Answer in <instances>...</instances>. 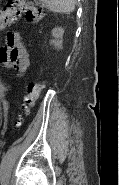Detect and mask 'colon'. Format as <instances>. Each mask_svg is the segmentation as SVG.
I'll list each match as a JSON object with an SVG mask.
<instances>
[{
    "label": "colon",
    "mask_w": 119,
    "mask_h": 185,
    "mask_svg": "<svg viewBox=\"0 0 119 185\" xmlns=\"http://www.w3.org/2000/svg\"><path fill=\"white\" fill-rule=\"evenodd\" d=\"M22 15H24L29 21H35L41 17L42 12L33 6L28 5L25 0H8L6 6L1 12V28H5L10 25ZM41 90L42 85L39 83H30L28 85L27 95L23 105L24 114L17 122V126L22 125L24 118L30 113V110L39 98Z\"/></svg>",
    "instance_id": "colon-1"
}]
</instances>
